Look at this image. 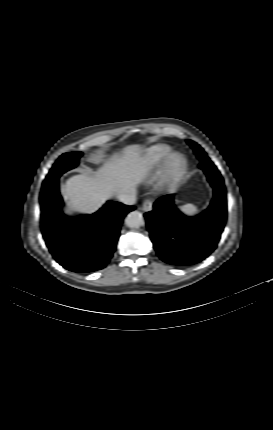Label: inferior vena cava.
<instances>
[{"mask_svg": "<svg viewBox=\"0 0 273 430\" xmlns=\"http://www.w3.org/2000/svg\"><path fill=\"white\" fill-rule=\"evenodd\" d=\"M120 202L126 205H134L136 203V192L121 193L117 196Z\"/></svg>", "mask_w": 273, "mask_h": 430, "instance_id": "obj_1", "label": "inferior vena cava"}]
</instances>
